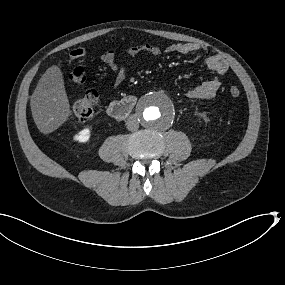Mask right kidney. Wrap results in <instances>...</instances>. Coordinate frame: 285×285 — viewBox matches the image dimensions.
Segmentation results:
<instances>
[{"label":"right kidney","mask_w":285,"mask_h":285,"mask_svg":"<svg viewBox=\"0 0 285 285\" xmlns=\"http://www.w3.org/2000/svg\"><path fill=\"white\" fill-rule=\"evenodd\" d=\"M90 138V130L88 128L81 130L78 134H76L73 139L80 143H85Z\"/></svg>","instance_id":"ca27d5eb"}]
</instances>
